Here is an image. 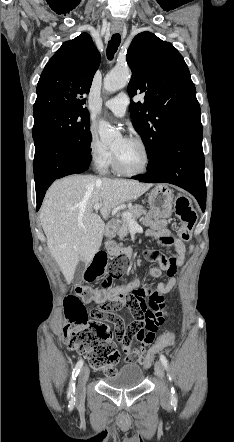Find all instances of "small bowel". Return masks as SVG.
Instances as JSON below:
<instances>
[{
  "instance_id": "c3829d8e",
  "label": "small bowel",
  "mask_w": 234,
  "mask_h": 442,
  "mask_svg": "<svg viewBox=\"0 0 234 442\" xmlns=\"http://www.w3.org/2000/svg\"><path fill=\"white\" fill-rule=\"evenodd\" d=\"M144 223L151 228L146 233L148 236L159 240L169 238L171 239V245L175 248L176 255L167 257L157 254L155 258L159 268L165 271L169 277L167 282L158 284L157 290L161 294H170L176 284V270L183 265L186 255L191 253L192 245L187 248L183 241L176 238L171 231L165 228L166 220L160 219L154 212L145 217ZM137 286V281H133L121 286V288L128 293L136 289ZM100 311L101 314H93L91 319H87V328L109 334L112 331L109 323L113 322V331L116 333L115 341L122 343L127 361H133L128 363V368L139 369L140 365H144L145 347L155 339L157 328H164L168 313L164 310L163 314H135L130 322H121V316L115 315L108 306H103ZM136 341H138L137 345L131 344Z\"/></svg>"
}]
</instances>
